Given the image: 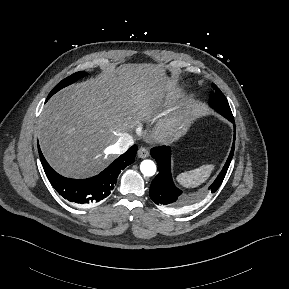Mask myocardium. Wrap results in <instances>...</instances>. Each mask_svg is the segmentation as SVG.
Segmentation results:
<instances>
[{
    "mask_svg": "<svg viewBox=\"0 0 289 289\" xmlns=\"http://www.w3.org/2000/svg\"><path fill=\"white\" fill-rule=\"evenodd\" d=\"M181 124V117L179 115H174L168 118L160 127V132L163 136H172L179 128Z\"/></svg>",
    "mask_w": 289,
    "mask_h": 289,
    "instance_id": "1",
    "label": "myocardium"
}]
</instances>
